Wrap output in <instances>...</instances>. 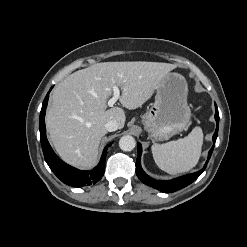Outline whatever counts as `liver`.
<instances>
[{"instance_id": "liver-1", "label": "liver", "mask_w": 247, "mask_h": 247, "mask_svg": "<svg viewBox=\"0 0 247 247\" xmlns=\"http://www.w3.org/2000/svg\"><path fill=\"white\" fill-rule=\"evenodd\" d=\"M175 68L159 62H102L69 75L55 87L46 113L49 137L58 155L75 167H93L107 133L105 124L116 120L123 128L126 120L122 108L107 109L112 87L121 88L123 107L136 109Z\"/></svg>"}]
</instances>
